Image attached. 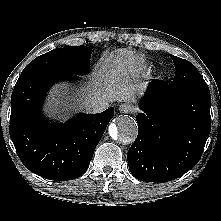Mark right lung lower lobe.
I'll list each match as a JSON object with an SVG mask.
<instances>
[{"label": "right lung lower lobe", "instance_id": "obj_1", "mask_svg": "<svg viewBox=\"0 0 221 221\" xmlns=\"http://www.w3.org/2000/svg\"><path fill=\"white\" fill-rule=\"evenodd\" d=\"M77 78L29 71L21 74L12 93L10 137L25 167L46 179L67 181L81 176L114 115L111 107L98 114L78 115L64 125L44 119L41 106L50 86Z\"/></svg>", "mask_w": 221, "mask_h": 221}]
</instances>
